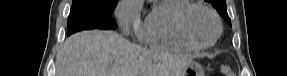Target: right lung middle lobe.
<instances>
[{
    "label": "right lung middle lobe",
    "mask_w": 287,
    "mask_h": 76,
    "mask_svg": "<svg viewBox=\"0 0 287 76\" xmlns=\"http://www.w3.org/2000/svg\"><path fill=\"white\" fill-rule=\"evenodd\" d=\"M117 0H73L68 17V33L81 30L115 29L111 14Z\"/></svg>",
    "instance_id": "right-lung-middle-lobe-1"
}]
</instances>
